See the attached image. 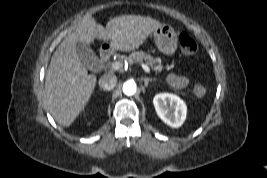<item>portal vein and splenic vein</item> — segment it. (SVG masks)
I'll return each instance as SVG.
<instances>
[{
  "instance_id": "1",
  "label": "portal vein and splenic vein",
  "mask_w": 267,
  "mask_h": 178,
  "mask_svg": "<svg viewBox=\"0 0 267 178\" xmlns=\"http://www.w3.org/2000/svg\"><path fill=\"white\" fill-rule=\"evenodd\" d=\"M141 66H142V68L145 70V72L150 73V69H149V67H148L147 65L142 64ZM121 67H122V64H120V63H118V62H114V63L111 64V68H112L113 70H118V69L121 68Z\"/></svg>"
}]
</instances>
